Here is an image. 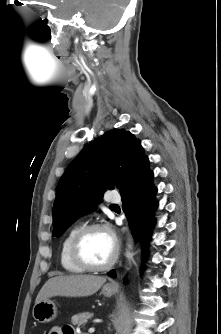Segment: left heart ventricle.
<instances>
[{
  "instance_id": "left-heart-ventricle-1",
  "label": "left heart ventricle",
  "mask_w": 221,
  "mask_h": 334,
  "mask_svg": "<svg viewBox=\"0 0 221 334\" xmlns=\"http://www.w3.org/2000/svg\"><path fill=\"white\" fill-rule=\"evenodd\" d=\"M115 244L111 235L104 230H94L86 235L81 252L84 258L94 264L107 263L114 254Z\"/></svg>"
}]
</instances>
